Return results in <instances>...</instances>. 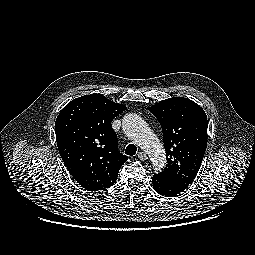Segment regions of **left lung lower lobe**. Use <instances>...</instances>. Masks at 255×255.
<instances>
[{"label":"left lung lower lobe","instance_id":"1","mask_svg":"<svg viewBox=\"0 0 255 255\" xmlns=\"http://www.w3.org/2000/svg\"><path fill=\"white\" fill-rule=\"evenodd\" d=\"M152 184L158 194L167 197L176 196L185 189L163 179L159 174L153 175Z\"/></svg>","mask_w":255,"mask_h":255}]
</instances>
